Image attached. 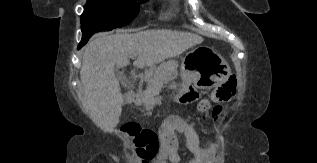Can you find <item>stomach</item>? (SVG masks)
<instances>
[{
  "mask_svg": "<svg viewBox=\"0 0 317 163\" xmlns=\"http://www.w3.org/2000/svg\"><path fill=\"white\" fill-rule=\"evenodd\" d=\"M206 56L202 61L182 64L181 78L183 85L199 84L203 89H211L223 83L230 74V67L223 57L212 48L206 47Z\"/></svg>",
  "mask_w": 317,
  "mask_h": 163,
  "instance_id": "obj_1",
  "label": "stomach"
}]
</instances>
